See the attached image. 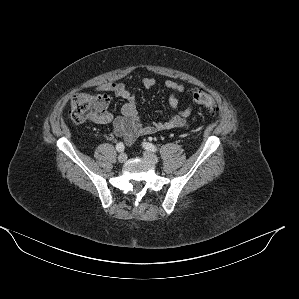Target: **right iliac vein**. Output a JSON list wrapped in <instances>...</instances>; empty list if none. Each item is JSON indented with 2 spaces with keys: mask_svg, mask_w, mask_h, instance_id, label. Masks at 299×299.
I'll list each match as a JSON object with an SVG mask.
<instances>
[{
  "mask_svg": "<svg viewBox=\"0 0 299 299\" xmlns=\"http://www.w3.org/2000/svg\"><path fill=\"white\" fill-rule=\"evenodd\" d=\"M126 160H127V155H126L125 153H121V154L118 156V161H119L120 163H124V162H126Z\"/></svg>",
  "mask_w": 299,
  "mask_h": 299,
  "instance_id": "obj_1",
  "label": "right iliac vein"
}]
</instances>
